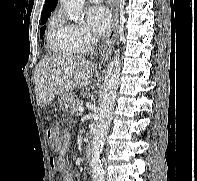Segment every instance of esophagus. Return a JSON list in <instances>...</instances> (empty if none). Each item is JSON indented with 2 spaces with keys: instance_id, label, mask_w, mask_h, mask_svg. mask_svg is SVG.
<instances>
[{
  "instance_id": "1",
  "label": "esophagus",
  "mask_w": 197,
  "mask_h": 181,
  "mask_svg": "<svg viewBox=\"0 0 197 181\" xmlns=\"http://www.w3.org/2000/svg\"><path fill=\"white\" fill-rule=\"evenodd\" d=\"M119 4H120V0H113V23L109 35L101 50V63L107 60L116 40V36L118 33V24H119V18H118Z\"/></svg>"
}]
</instances>
